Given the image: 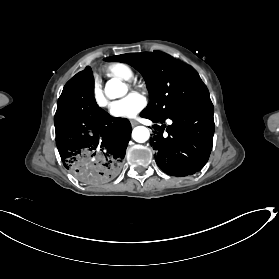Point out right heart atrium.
<instances>
[{"instance_id":"obj_1","label":"right heart atrium","mask_w":279,"mask_h":279,"mask_svg":"<svg viewBox=\"0 0 279 279\" xmlns=\"http://www.w3.org/2000/svg\"><path fill=\"white\" fill-rule=\"evenodd\" d=\"M93 98H94L95 103L100 108H104L107 106V102H106V99L102 92L101 86L97 82H95L94 87H93Z\"/></svg>"}]
</instances>
